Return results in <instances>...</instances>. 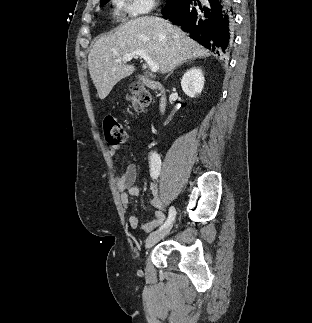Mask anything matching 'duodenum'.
<instances>
[{"label": "duodenum", "mask_w": 312, "mask_h": 323, "mask_svg": "<svg viewBox=\"0 0 312 323\" xmlns=\"http://www.w3.org/2000/svg\"><path fill=\"white\" fill-rule=\"evenodd\" d=\"M143 83L146 87L156 91L159 94L160 100H159L158 109H159V112H163L166 107L164 87L159 82L154 80H146Z\"/></svg>", "instance_id": "obj_1"}]
</instances>
